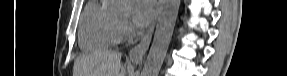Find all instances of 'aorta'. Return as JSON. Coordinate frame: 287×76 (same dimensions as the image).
Returning a JSON list of instances; mask_svg holds the SVG:
<instances>
[{
  "label": "aorta",
  "instance_id": "762f6f07",
  "mask_svg": "<svg viewBox=\"0 0 287 76\" xmlns=\"http://www.w3.org/2000/svg\"><path fill=\"white\" fill-rule=\"evenodd\" d=\"M180 2V0H161L153 42L141 76H158L171 42Z\"/></svg>",
  "mask_w": 287,
  "mask_h": 76
}]
</instances>
